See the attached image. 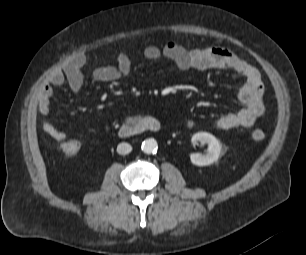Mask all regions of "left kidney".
I'll return each mask as SVG.
<instances>
[{
    "label": "left kidney",
    "mask_w": 306,
    "mask_h": 255,
    "mask_svg": "<svg viewBox=\"0 0 306 255\" xmlns=\"http://www.w3.org/2000/svg\"><path fill=\"white\" fill-rule=\"evenodd\" d=\"M191 142L193 145H197L198 142L208 144L206 154L192 153L190 155L192 164L207 166L218 160L222 146L215 136L207 132H198L192 136Z\"/></svg>",
    "instance_id": "left-kidney-1"
}]
</instances>
